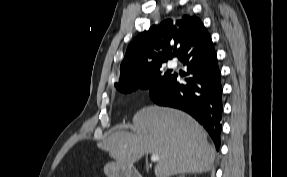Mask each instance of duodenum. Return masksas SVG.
<instances>
[{"label": "duodenum", "instance_id": "1", "mask_svg": "<svg viewBox=\"0 0 287 177\" xmlns=\"http://www.w3.org/2000/svg\"><path fill=\"white\" fill-rule=\"evenodd\" d=\"M117 173L122 174L125 177H143L139 174L137 169L132 167H124L118 170Z\"/></svg>", "mask_w": 287, "mask_h": 177}]
</instances>
